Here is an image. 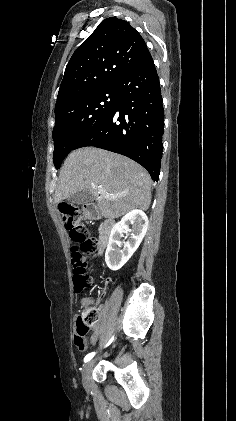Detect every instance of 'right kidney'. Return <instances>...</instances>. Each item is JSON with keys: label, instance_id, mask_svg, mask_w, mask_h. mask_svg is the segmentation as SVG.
<instances>
[{"label": "right kidney", "instance_id": "1", "mask_svg": "<svg viewBox=\"0 0 236 421\" xmlns=\"http://www.w3.org/2000/svg\"><path fill=\"white\" fill-rule=\"evenodd\" d=\"M147 229L148 217L143 211H139V208H134V211L127 213L120 223L113 227L105 253L106 265L111 271H119L131 259L142 239H144ZM125 231H129L131 237L129 241L123 243L121 237H123L122 233H125ZM121 245H124V249H119Z\"/></svg>", "mask_w": 236, "mask_h": 421}]
</instances>
